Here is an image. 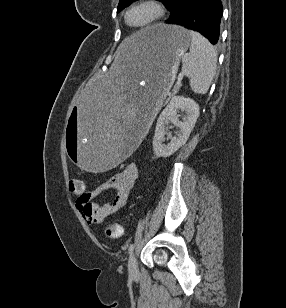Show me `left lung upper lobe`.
<instances>
[{
	"mask_svg": "<svg viewBox=\"0 0 286 308\" xmlns=\"http://www.w3.org/2000/svg\"><path fill=\"white\" fill-rule=\"evenodd\" d=\"M134 1L136 0H120L118 7H117V12H120L122 9H124L125 7H127L129 4H131ZM158 1H161L165 5L166 9L169 10L170 5L173 0H158Z\"/></svg>",
	"mask_w": 286,
	"mask_h": 308,
	"instance_id": "5c2ea615",
	"label": "left lung upper lobe"
}]
</instances>
